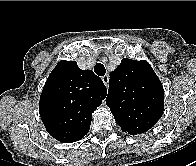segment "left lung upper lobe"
Listing matches in <instances>:
<instances>
[{
	"mask_svg": "<svg viewBox=\"0 0 196 166\" xmlns=\"http://www.w3.org/2000/svg\"><path fill=\"white\" fill-rule=\"evenodd\" d=\"M106 104L123 132L144 133L163 114V86L148 62L123 59L110 74Z\"/></svg>",
	"mask_w": 196,
	"mask_h": 166,
	"instance_id": "obj_1",
	"label": "left lung upper lobe"
}]
</instances>
